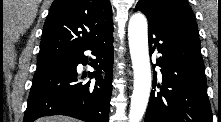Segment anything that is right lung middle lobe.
<instances>
[{
	"label": "right lung middle lobe",
	"mask_w": 221,
	"mask_h": 122,
	"mask_svg": "<svg viewBox=\"0 0 221 122\" xmlns=\"http://www.w3.org/2000/svg\"><path fill=\"white\" fill-rule=\"evenodd\" d=\"M62 59V58H61ZM61 59H49V60H38L37 62V70L47 67L49 65L55 64Z\"/></svg>",
	"instance_id": "dd1d6c3e"
}]
</instances>
